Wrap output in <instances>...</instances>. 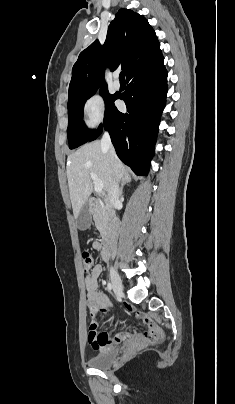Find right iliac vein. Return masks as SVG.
I'll return each instance as SVG.
<instances>
[{
  "label": "right iliac vein",
  "mask_w": 235,
  "mask_h": 404,
  "mask_svg": "<svg viewBox=\"0 0 235 404\" xmlns=\"http://www.w3.org/2000/svg\"><path fill=\"white\" fill-rule=\"evenodd\" d=\"M110 276H111V282H112V287L114 290V293L116 296L121 297L122 296V282L119 274L116 272L114 268L110 269Z\"/></svg>",
  "instance_id": "1"
}]
</instances>
